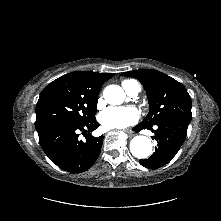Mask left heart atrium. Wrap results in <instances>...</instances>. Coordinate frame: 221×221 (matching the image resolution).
<instances>
[{
	"instance_id": "obj_1",
	"label": "left heart atrium",
	"mask_w": 221,
	"mask_h": 221,
	"mask_svg": "<svg viewBox=\"0 0 221 221\" xmlns=\"http://www.w3.org/2000/svg\"><path fill=\"white\" fill-rule=\"evenodd\" d=\"M139 119L138 111L133 107H109L99 116L106 129H121L135 124Z\"/></svg>"
}]
</instances>
